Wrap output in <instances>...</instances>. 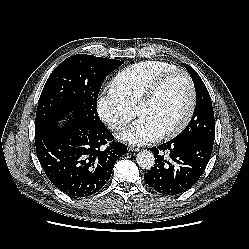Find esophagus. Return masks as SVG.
<instances>
[{
  "label": "esophagus",
  "instance_id": "1",
  "mask_svg": "<svg viewBox=\"0 0 249 249\" xmlns=\"http://www.w3.org/2000/svg\"><path fill=\"white\" fill-rule=\"evenodd\" d=\"M139 150H140V149L137 148V147H132V146H129V147H128V151H129V152H134V153H135V152H138Z\"/></svg>",
  "mask_w": 249,
  "mask_h": 249
}]
</instances>
